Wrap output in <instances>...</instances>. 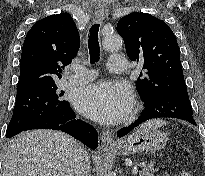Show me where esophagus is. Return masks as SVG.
<instances>
[{
	"instance_id": "1",
	"label": "esophagus",
	"mask_w": 205,
	"mask_h": 176,
	"mask_svg": "<svg viewBox=\"0 0 205 176\" xmlns=\"http://www.w3.org/2000/svg\"><path fill=\"white\" fill-rule=\"evenodd\" d=\"M108 15V10L105 6H99L97 9H96V18L97 20L101 21V20H104ZM101 142H102V145L104 147H114L116 144H115V141H114V135L111 131H103L101 133Z\"/></svg>"
}]
</instances>
